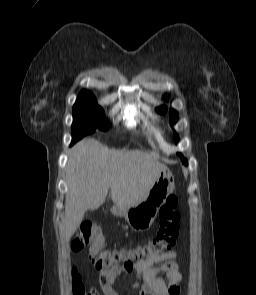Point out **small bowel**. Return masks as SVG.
Instances as JSON below:
<instances>
[{
	"instance_id": "small-bowel-1",
	"label": "small bowel",
	"mask_w": 256,
	"mask_h": 295,
	"mask_svg": "<svg viewBox=\"0 0 256 295\" xmlns=\"http://www.w3.org/2000/svg\"><path fill=\"white\" fill-rule=\"evenodd\" d=\"M176 257L177 252L172 251L155 259L139 261L129 269L117 266L100 270L99 286L104 295H120L114 285L115 279L123 270H128L134 272L137 277L133 287L140 290V295H179L182 275L174 261ZM90 292L100 295L94 286Z\"/></svg>"
}]
</instances>
